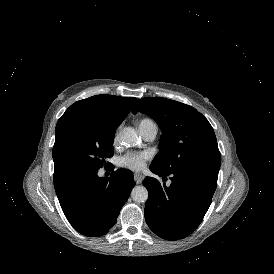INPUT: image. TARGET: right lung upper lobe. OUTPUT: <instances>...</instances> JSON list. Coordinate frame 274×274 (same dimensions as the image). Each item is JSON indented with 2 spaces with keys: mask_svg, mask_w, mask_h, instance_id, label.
I'll return each instance as SVG.
<instances>
[{
  "mask_svg": "<svg viewBox=\"0 0 274 274\" xmlns=\"http://www.w3.org/2000/svg\"><path fill=\"white\" fill-rule=\"evenodd\" d=\"M136 100V98L101 94L77 101L72 104L58 120L55 134L59 132L65 122L81 114L113 112L126 117ZM60 175L62 174H60L54 164V176Z\"/></svg>",
  "mask_w": 274,
  "mask_h": 274,
  "instance_id": "1",
  "label": "right lung upper lobe"
}]
</instances>
